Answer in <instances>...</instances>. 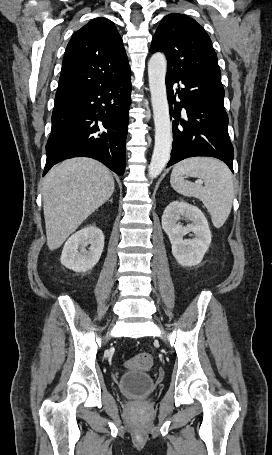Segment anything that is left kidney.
<instances>
[{
    "mask_svg": "<svg viewBox=\"0 0 272 455\" xmlns=\"http://www.w3.org/2000/svg\"><path fill=\"white\" fill-rule=\"evenodd\" d=\"M181 216L192 220V224H179ZM162 227L171 242L172 254L181 266L191 267L202 261L212 235L207 219L198 207L186 202H171L164 210ZM188 232H193L195 237L183 240Z\"/></svg>",
    "mask_w": 272,
    "mask_h": 455,
    "instance_id": "obj_1",
    "label": "left kidney"
}]
</instances>
